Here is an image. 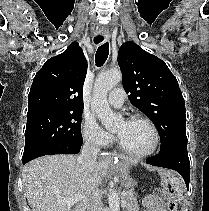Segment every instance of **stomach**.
<instances>
[{"instance_id":"stomach-1","label":"stomach","mask_w":209,"mask_h":211,"mask_svg":"<svg viewBox=\"0 0 209 211\" xmlns=\"http://www.w3.org/2000/svg\"><path fill=\"white\" fill-rule=\"evenodd\" d=\"M129 168L130 166L125 163H118V174L125 189L134 188L137 185V182L130 175Z\"/></svg>"}]
</instances>
